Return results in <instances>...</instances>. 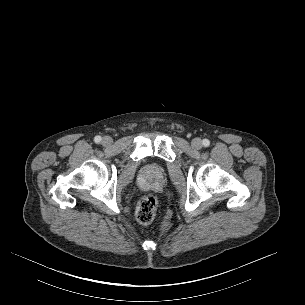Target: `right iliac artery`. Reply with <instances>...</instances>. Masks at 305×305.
Wrapping results in <instances>:
<instances>
[{
  "label": "right iliac artery",
  "mask_w": 305,
  "mask_h": 305,
  "mask_svg": "<svg viewBox=\"0 0 305 305\" xmlns=\"http://www.w3.org/2000/svg\"><path fill=\"white\" fill-rule=\"evenodd\" d=\"M101 137L100 136H96L95 138H94V141L96 142V143H100L101 142Z\"/></svg>",
  "instance_id": "right-iliac-artery-1"
}]
</instances>
